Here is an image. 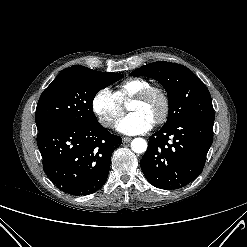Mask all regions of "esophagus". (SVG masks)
<instances>
[{"instance_id":"1","label":"esophagus","mask_w":247,"mask_h":247,"mask_svg":"<svg viewBox=\"0 0 247 247\" xmlns=\"http://www.w3.org/2000/svg\"><path fill=\"white\" fill-rule=\"evenodd\" d=\"M131 140H132V138H130V137H123V138H122L123 143H128V142H130Z\"/></svg>"}]
</instances>
